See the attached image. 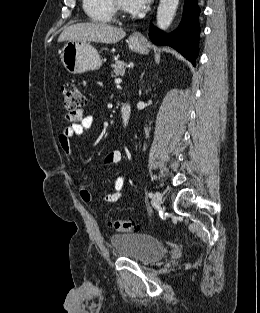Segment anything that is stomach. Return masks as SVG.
I'll return each instance as SVG.
<instances>
[{
  "mask_svg": "<svg viewBox=\"0 0 260 313\" xmlns=\"http://www.w3.org/2000/svg\"><path fill=\"white\" fill-rule=\"evenodd\" d=\"M129 48L133 51L148 54L149 44L146 40L131 36ZM61 60L65 69L72 74H81L97 70L102 60L97 50L89 42L68 41L62 48Z\"/></svg>",
  "mask_w": 260,
  "mask_h": 313,
  "instance_id": "0dacf381",
  "label": "stomach"
}]
</instances>
